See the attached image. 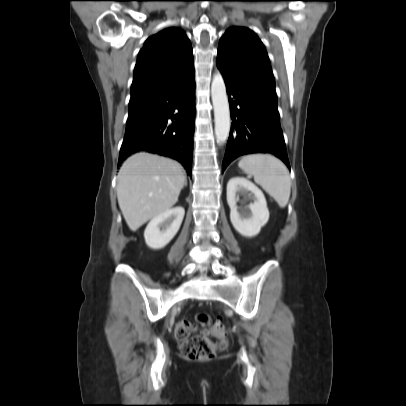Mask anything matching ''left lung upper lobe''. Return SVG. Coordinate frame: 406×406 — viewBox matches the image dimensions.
<instances>
[{"mask_svg": "<svg viewBox=\"0 0 406 406\" xmlns=\"http://www.w3.org/2000/svg\"><path fill=\"white\" fill-rule=\"evenodd\" d=\"M217 59L275 86L266 49L248 28L230 27L220 40Z\"/></svg>", "mask_w": 406, "mask_h": 406, "instance_id": "obj_1", "label": "left lung upper lobe"}]
</instances>
